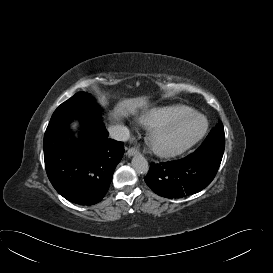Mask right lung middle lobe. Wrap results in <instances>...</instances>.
<instances>
[{
	"mask_svg": "<svg viewBox=\"0 0 273 273\" xmlns=\"http://www.w3.org/2000/svg\"><path fill=\"white\" fill-rule=\"evenodd\" d=\"M76 112L89 116H98L100 107L96 104L92 97L85 92L76 93L69 100L62 103L55 112Z\"/></svg>",
	"mask_w": 273,
	"mask_h": 273,
	"instance_id": "dd1d6c3e",
	"label": "right lung middle lobe"
}]
</instances>
